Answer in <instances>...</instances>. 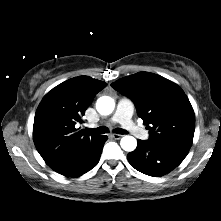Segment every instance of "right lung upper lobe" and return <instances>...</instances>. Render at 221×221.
<instances>
[{"instance_id": "cb5924a9", "label": "right lung upper lobe", "mask_w": 221, "mask_h": 221, "mask_svg": "<svg viewBox=\"0 0 221 221\" xmlns=\"http://www.w3.org/2000/svg\"><path fill=\"white\" fill-rule=\"evenodd\" d=\"M105 82L89 76L69 79L49 91L39 104L34 144L46 164L62 174L89 154L102 135L79 130L82 116Z\"/></svg>"}]
</instances>
